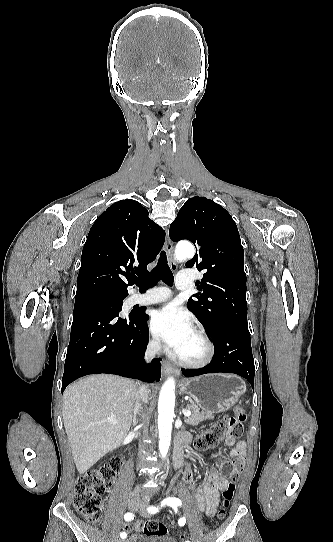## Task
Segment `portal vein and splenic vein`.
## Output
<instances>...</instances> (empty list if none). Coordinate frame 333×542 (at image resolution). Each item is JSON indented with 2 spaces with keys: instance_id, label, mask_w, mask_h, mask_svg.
I'll return each mask as SVG.
<instances>
[{
  "instance_id": "18ae733b",
  "label": "portal vein and splenic vein",
  "mask_w": 333,
  "mask_h": 542,
  "mask_svg": "<svg viewBox=\"0 0 333 542\" xmlns=\"http://www.w3.org/2000/svg\"><path fill=\"white\" fill-rule=\"evenodd\" d=\"M182 414H184V416H187V418L191 416L190 410H182ZM110 424H113V426H116V422H110Z\"/></svg>"
}]
</instances>
